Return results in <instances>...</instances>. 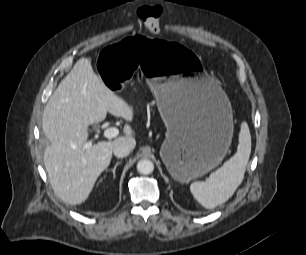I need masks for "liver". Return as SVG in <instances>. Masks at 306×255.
Masks as SVG:
<instances>
[{
	"label": "liver",
	"instance_id": "6515ba94",
	"mask_svg": "<svg viewBox=\"0 0 306 255\" xmlns=\"http://www.w3.org/2000/svg\"><path fill=\"white\" fill-rule=\"evenodd\" d=\"M133 120V107L111 91L98 77L88 58L79 59L61 81L43 111L42 129L50 145L44 165L50 184L64 202H85L101 173L109 166L114 146L122 141L136 145L133 131L124 125V136L84 148L88 127L103 121L107 113Z\"/></svg>",
	"mask_w": 306,
	"mask_h": 255
}]
</instances>
